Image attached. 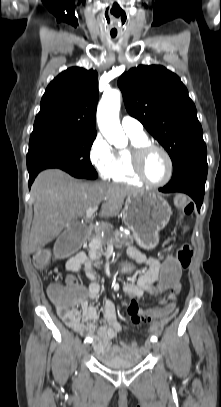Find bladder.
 I'll list each match as a JSON object with an SVG mask.
<instances>
[{
  "mask_svg": "<svg viewBox=\"0 0 221 407\" xmlns=\"http://www.w3.org/2000/svg\"><path fill=\"white\" fill-rule=\"evenodd\" d=\"M96 358L98 362L107 367L109 369L114 370H122V369H129L138 366L141 363V358L135 359H122V358H115V357H106L101 354H97Z\"/></svg>",
  "mask_w": 221,
  "mask_h": 407,
  "instance_id": "1",
  "label": "bladder"
}]
</instances>
